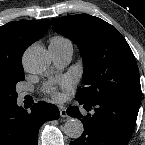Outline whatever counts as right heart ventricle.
<instances>
[{
	"label": "right heart ventricle",
	"mask_w": 145,
	"mask_h": 145,
	"mask_svg": "<svg viewBox=\"0 0 145 145\" xmlns=\"http://www.w3.org/2000/svg\"><path fill=\"white\" fill-rule=\"evenodd\" d=\"M49 48H72L73 44L70 39L62 35H55L50 39Z\"/></svg>",
	"instance_id": "obj_1"
}]
</instances>
